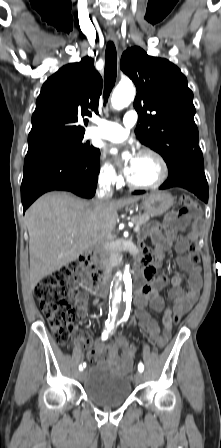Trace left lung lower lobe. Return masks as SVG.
Listing matches in <instances>:
<instances>
[{"label":"left lung lower lobe","instance_id":"obj_1","mask_svg":"<svg viewBox=\"0 0 221 448\" xmlns=\"http://www.w3.org/2000/svg\"><path fill=\"white\" fill-rule=\"evenodd\" d=\"M168 166L169 176L160 189L182 187L208 202V183L204 173L202 152L196 151L182 155L171 161ZM135 191L134 194H143Z\"/></svg>","mask_w":221,"mask_h":448}]
</instances>
